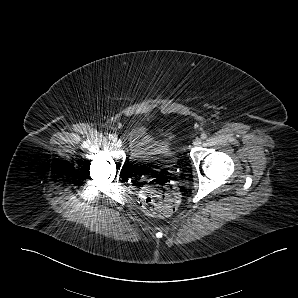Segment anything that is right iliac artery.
<instances>
[{
  "label": "right iliac artery",
  "mask_w": 298,
  "mask_h": 298,
  "mask_svg": "<svg viewBox=\"0 0 298 298\" xmlns=\"http://www.w3.org/2000/svg\"><path fill=\"white\" fill-rule=\"evenodd\" d=\"M109 139L113 140V139H115V137L112 134H109Z\"/></svg>",
  "instance_id": "right-iliac-artery-1"
}]
</instances>
